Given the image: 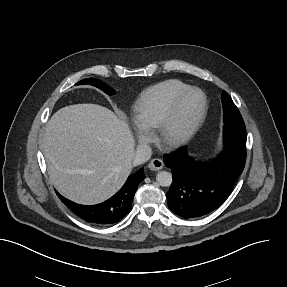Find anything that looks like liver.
Here are the masks:
<instances>
[{"instance_id": "6515ba94", "label": "liver", "mask_w": 287, "mask_h": 287, "mask_svg": "<svg viewBox=\"0 0 287 287\" xmlns=\"http://www.w3.org/2000/svg\"><path fill=\"white\" fill-rule=\"evenodd\" d=\"M134 146L126 121L96 104L58 110L42 141L51 182L60 194L84 205L101 203L123 186Z\"/></svg>"}]
</instances>
